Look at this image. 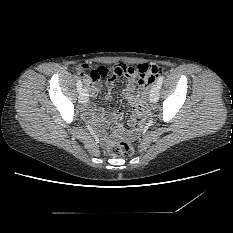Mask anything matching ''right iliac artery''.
I'll list each match as a JSON object with an SVG mask.
<instances>
[{"label": "right iliac artery", "mask_w": 233, "mask_h": 233, "mask_svg": "<svg viewBox=\"0 0 233 233\" xmlns=\"http://www.w3.org/2000/svg\"><path fill=\"white\" fill-rule=\"evenodd\" d=\"M81 89H82V82L80 79L77 80V90L78 92L80 93L81 92Z\"/></svg>", "instance_id": "obj_1"}]
</instances>
